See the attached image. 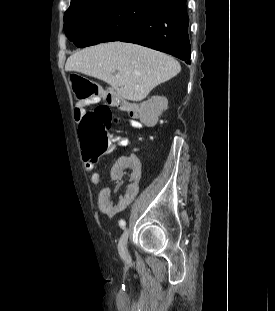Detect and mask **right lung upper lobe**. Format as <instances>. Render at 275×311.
<instances>
[{"instance_id":"obj_1","label":"right lung upper lobe","mask_w":275,"mask_h":311,"mask_svg":"<svg viewBox=\"0 0 275 311\" xmlns=\"http://www.w3.org/2000/svg\"><path fill=\"white\" fill-rule=\"evenodd\" d=\"M78 1H83V0H71V2H78ZM161 2H165V1H168V0H160Z\"/></svg>"}]
</instances>
